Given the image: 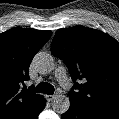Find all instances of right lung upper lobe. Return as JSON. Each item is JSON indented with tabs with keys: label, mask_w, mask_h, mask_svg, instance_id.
Here are the masks:
<instances>
[{
	"label": "right lung upper lobe",
	"mask_w": 119,
	"mask_h": 119,
	"mask_svg": "<svg viewBox=\"0 0 119 119\" xmlns=\"http://www.w3.org/2000/svg\"><path fill=\"white\" fill-rule=\"evenodd\" d=\"M51 34L20 27L0 34V119H35L38 115L45 100L31 89L24 90L23 81L29 79L30 62Z\"/></svg>",
	"instance_id": "1"
}]
</instances>
